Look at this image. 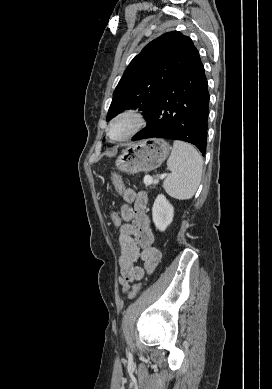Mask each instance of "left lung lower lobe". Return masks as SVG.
Instances as JSON below:
<instances>
[{"label": "left lung lower lobe", "instance_id": "obj_1", "mask_svg": "<svg viewBox=\"0 0 272 389\" xmlns=\"http://www.w3.org/2000/svg\"><path fill=\"white\" fill-rule=\"evenodd\" d=\"M209 92L199 53L163 89L150 114L147 127L133 141L167 138L194 144L205 155Z\"/></svg>", "mask_w": 272, "mask_h": 389}]
</instances>
